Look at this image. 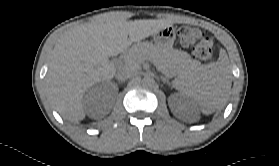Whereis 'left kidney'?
I'll list each match as a JSON object with an SVG mask.
<instances>
[{"label": "left kidney", "mask_w": 279, "mask_h": 166, "mask_svg": "<svg viewBox=\"0 0 279 166\" xmlns=\"http://www.w3.org/2000/svg\"><path fill=\"white\" fill-rule=\"evenodd\" d=\"M178 106L181 108H191L192 104L189 102L188 99L181 97L178 101Z\"/></svg>", "instance_id": "1"}]
</instances>
